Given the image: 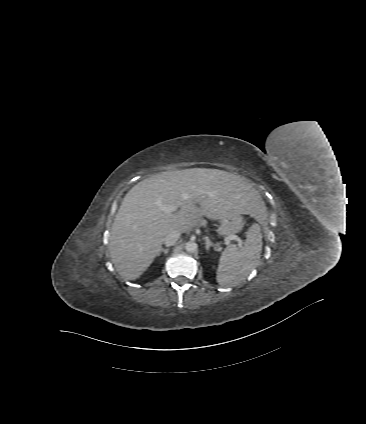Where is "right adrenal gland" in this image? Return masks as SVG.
<instances>
[{
	"label": "right adrenal gland",
	"mask_w": 366,
	"mask_h": 424,
	"mask_svg": "<svg viewBox=\"0 0 366 424\" xmlns=\"http://www.w3.org/2000/svg\"><path fill=\"white\" fill-rule=\"evenodd\" d=\"M170 248H161L159 253L157 254V256H159L162 252H164L165 254H167L169 252Z\"/></svg>",
	"instance_id": "1"
}]
</instances>
